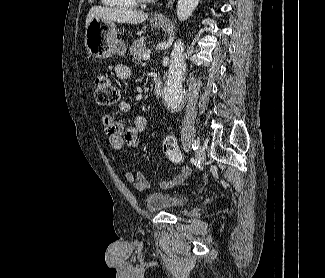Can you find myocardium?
<instances>
[{
	"label": "myocardium",
	"instance_id": "1",
	"mask_svg": "<svg viewBox=\"0 0 325 278\" xmlns=\"http://www.w3.org/2000/svg\"><path fill=\"white\" fill-rule=\"evenodd\" d=\"M136 1L141 2V3H148V2H151L153 0H136Z\"/></svg>",
	"mask_w": 325,
	"mask_h": 278
}]
</instances>
